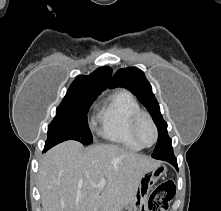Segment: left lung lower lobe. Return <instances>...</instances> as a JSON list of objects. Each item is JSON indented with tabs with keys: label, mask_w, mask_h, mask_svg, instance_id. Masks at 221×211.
<instances>
[{
	"label": "left lung lower lobe",
	"mask_w": 221,
	"mask_h": 211,
	"mask_svg": "<svg viewBox=\"0 0 221 211\" xmlns=\"http://www.w3.org/2000/svg\"><path fill=\"white\" fill-rule=\"evenodd\" d=\"M160 160H165V161L171 163L176 169H178V167H177V161H176V158H175L174 155L168 156V157H163V158H161Z\"/></svg>",
	"instance_id": "left-lung-lower-lobe-1"
}]
</instances>
